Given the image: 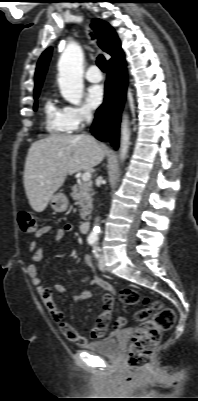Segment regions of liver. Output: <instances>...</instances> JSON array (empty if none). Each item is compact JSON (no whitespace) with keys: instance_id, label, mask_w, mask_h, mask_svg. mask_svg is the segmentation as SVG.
<instances>
[{"instance_id":"6515ba94","label":"liver","mask_w":198,"mask_h":401,"mask_svg":"<svg viewBox=\"0 0 198 401\" xmlns=\"http://www.w3.org/2000/svg\"><path fill=\"white\" fill-rule=\"evenodd\" d=\"M107 153L105 145L84 134L51 135L32 143L23 183L33 210L43 212L68 174L90 171Z\"/></svg>"}]
</instances>
